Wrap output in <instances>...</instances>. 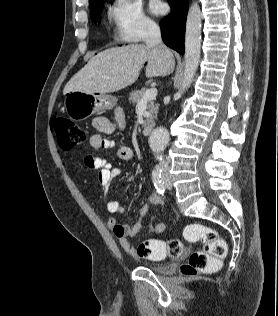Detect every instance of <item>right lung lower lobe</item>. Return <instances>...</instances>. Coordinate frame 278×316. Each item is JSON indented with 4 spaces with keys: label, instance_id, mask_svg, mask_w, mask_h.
<instances>
[{
    "label": "right lung lower lobe",
    "instance_id": "right-lung-lower-lobe-1",
    "mask_svg": "<svg viewBox=\"0 0 278 316\" xmlns=\"http://www.w3.org/2000/svg\"><path fill=\"white\" fill-rule=\"evenodd\" d=\"M171 13L161 20L162 39L167 46L184 54L185 24L189 0H167Z\"/></svg>",
    "mask_w": 278,
    "mask_h": 316
}]
</instances>
